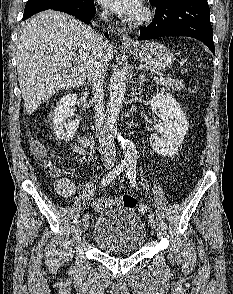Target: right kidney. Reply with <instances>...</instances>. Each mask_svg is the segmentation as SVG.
Returning <instances> with one entry per match:
<instances>
[{
    "mask_svg": "<svg viewBox=\"0 0 233 294\" xmlns=\"http://www.w3.org/2000/svg\"><path fill=\"white\" fill-rule=\"evenodd\" d=\"M76 101V93L67 94L60 99L54 109V131L56 136L61 140L69 141L72 139L79 127L78 120H69V118L74 115Z\"/></svg>",
    "mask_w": 233,
    "mask_h": 294,
    "instance_id": "obj_1",
    "label": "right kidney"
}]
</instances>
